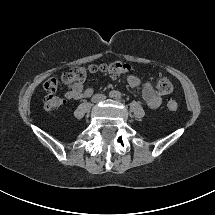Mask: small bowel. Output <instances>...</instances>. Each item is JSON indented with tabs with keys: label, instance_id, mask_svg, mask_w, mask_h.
I'll return each instance as SVG.
<instances>
[{
	"label": "small bowel",
	"instance_id": "c3829d8e",
	"mask_svg": "<svg viewBox=\"0 0 215 215\" xmlns=\"http://www.w3.org/2000/svg\"><path fill=\"white\" fill-rule=\"evenodd\" d=\"M129 87L136 88L140 85V79L136 75L127 78ZM93 93L91 88H85L83 83L76 82L72 88L66 92L65 97L69 100H77L90 97ZM142 96L146 105L151 109H157L161 105V97L154 91L150 82H145L142 87Z\"/></svg>",
	"mask_w": 215,
	"mask_h": 215
}]
</instances>
